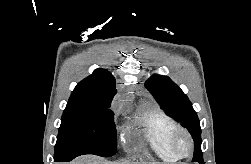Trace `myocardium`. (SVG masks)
I'll return each instance as SVG.
<instances>
[{"mask_svg":"<svg viewBox=\"0 0 251 164\" xmlns=\"http://www.w3.org/2000/svg\"><path fill=\"white\" fill-rule=\"evenodd\" d=\"M185 143V148L181 147V143ZM169 150L173 156L178 159L189 157L193 151V140L189 132L177 126L169 138Z\"/></svg>","mask_w":251,"mask_h":164,"instance_id":"f54148a6","label":"myocardium"}]
</instances>
